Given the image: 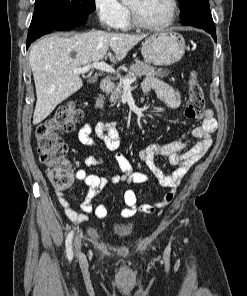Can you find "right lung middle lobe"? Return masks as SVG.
<instances>
[{
    "instance_id": "dd1d6c3e",
    "label": "right lung middle lobe",
    "mask_w": 247,
    "mask_h": 296,
    "mask_svg": "<svg viewBox=\"0 0 247 296\" xmlns=\"http://www.w3.org/2000/svg\"><path fill=\"white\" fill-rule=\"evenodd\" d=\"M94 10V0H36L31 22L42 20L50 15L81 19L90 15Z\"/></svg>"
}]
</instances>
